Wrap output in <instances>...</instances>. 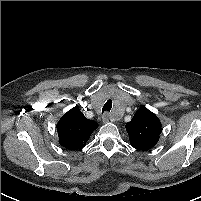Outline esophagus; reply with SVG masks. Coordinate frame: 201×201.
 I'll return each instance as SVG.
<instances>
[{
  "instance_id": "obj_1",
  "label": "esophagus",
  "mask_w": 201,
  "mask_h": 201,
  "mask_svg": "<svg viewBox=\"0 0 201 201\" xmlns=\"http://www.w3.org/2000/svg\"><path fill=\"white\" fill-rule=\"evenodd\" d=\"M102 120L104 123H108L110 120H112V118L109 114H105L103 115Z\"/></svg>"
}]
</instances>
